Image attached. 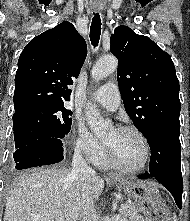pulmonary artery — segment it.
<instances>
[{"label":"pulmonary artery","instance_id":"obj_1","mask_svg":"<svg viewBox=\"0 0 190 221\" xmlns=\"http://www.w3.org/2000/svg\"><path fill=\"white\" fill-rule=\"evenodd\" d=\"M92 100L111 111L116 110L121 103L117 84L107 82L93 94Z\"/></svg>","mask_w":190,"mask_h":221}]
</instances>
